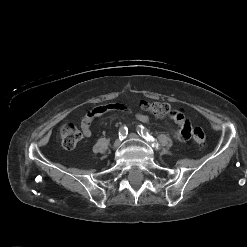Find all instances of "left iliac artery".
Wrapping results in <instances>:
<instances>
[{"label":"left iliac artery","mask_w":247,"mask_h":247,"mask_svg":"<svg viewBox=\"0 0 247 247\" xmlns=\"http://www.w3.org/2000/svg\"><path fill=\"white\" fill-rule=\"evenodd\" d=\"M137 132L139 135H141L147 142H149L151 144L152 147H154L155 149H160L158 142L153 138V136H151L148 132V130L142 126L139 125L137 127Z\"/></svg>","instance_id":"1"}]
</instances>
